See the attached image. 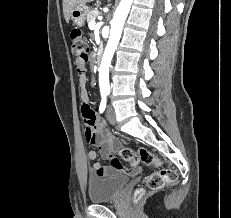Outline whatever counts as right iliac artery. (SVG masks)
<instances>
[{
	"label": "right iliac artery",
	"mask_w": 231,
	"mask_h": 218,
	"mask_svg": "<svg viewBox=\"0 0 231 218\" xmlns=\"http://www.w3.org/2000/svg\"><path fill=\"white\" fill-rule=\"evenodd\" d=\"M106 97H107V94L103 93L102 94V101H101V104H100V107H99L100 113H102L105 110V107H106Z\"/></svg>",
	"instance_id": "obj_1"
}]
</instances>
